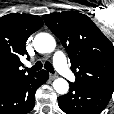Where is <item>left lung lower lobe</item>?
<instances>
[{"label":"left lung lower lobe","mask_w":114,"mask_h":114,"mask_svg":"<svg viewBox=\"0 0 114 114\" xmlns=\"http://www.w3.org/2000/svg\"><path fill=\"white\" fill-rule=\"evenodd\" d=\"M111 91L82 83H70L67 94L58 98V105L67 114H100L107 106Z\"/></svg>","instance_id":"0a47b994"}]
</instances>
